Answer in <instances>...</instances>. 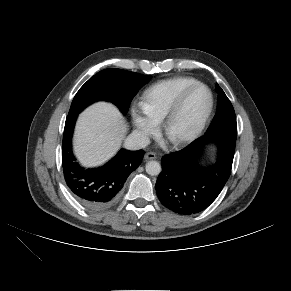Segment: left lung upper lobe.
<instances>
[{"mask_svg":"<svg viewBox=\"0 0 291 291\" xmlns=\"http://www.w3.org/2000/svg\"><path fill=\"white\" fill-rule=\"evenodd\" d=\"M216 92L218 93L217 112L206 132L219 129L237 130L236 116L230 100L218 84H216Z\"/></svg>","mask_w":291,"mask_h":291,"instance_id":"left-lung-upper-lobe-1","label":"left lung upper lobe"}]
</instances>
